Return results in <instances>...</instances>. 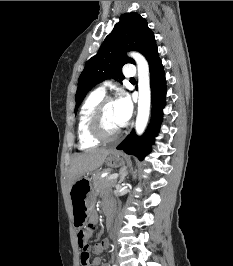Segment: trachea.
Instances as JSON below:
<instances>
[{"instance_id": "trachea-1", "label": "trachea", "mask_w": 233, "mask_h": 266, "mask_svg": "<svg viewBox=\"0 0 233 266\" xmlns=\"http://www.w3.org/2000/svg\"><path fill=\"white\" fill-rule=\"evenodd\" d=\"M130 80H132V81H133V80H135V79H134V78H131Z\"/></svg>"}]
</instances>
